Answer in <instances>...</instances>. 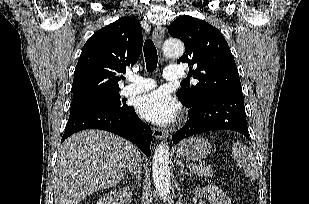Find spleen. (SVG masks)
Listing matches in <instances>:
<instances>
[{"mask_svg":"<svg viewBox=\"0 0 309 204\" xmlns=\"http://www.w3.org/2000/svg\"><path fill=\"white\" fill-rule=\"evenodd\" d=\"M232 154L238 166L244 170L249 179L256 180L259 177V167L253 152L244 144L239 141L233 143Z\"/></svg>","mask_w":309,"mask_h":204,"instance_id":"3e777b00","label":"spleen"}]
</instances>
